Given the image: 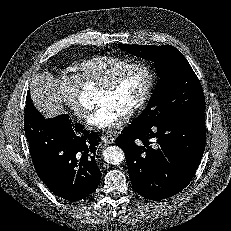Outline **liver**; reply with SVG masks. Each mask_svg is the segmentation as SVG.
<instances>
[{
	"mask_svg": "<svg viewBox=\"0 0 231 231\" xmlns=\"http://www.w3.org/2000/svg\"><path fill=\"white\" fill-rule=\"evenodd\" d=\"M30 91L34 106L46 118H53L64 112L57 81L50 73L42 72L34 75Z\"/></svg>",
	"mask_w": 231,
	"mask_h": 231,
	"instance_id": "liver-1",
	"label": "liver"
}]
</instances>
